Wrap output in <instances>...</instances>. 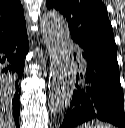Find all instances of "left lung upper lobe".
Returning a JSON list of instances; mask_svg holds the SVG:
<instances>
[{
  "instance_id": "5c2ea615",
  "label": "left lung upper lobe",
  "mask_w": 125,
  "mask_h": 128,
  "mask_svg": "<svg viewBox=\"0 0 125 128\" xmlns=\"http://www.w3.org/2000/svg\"><path fill=\"white\" fill-rule=\"evenodd\" d=\"M46 6L66 18L71 38L81 49L117 55L113 29L101 0H46Z\"/></svg>"
}]
</instances>
